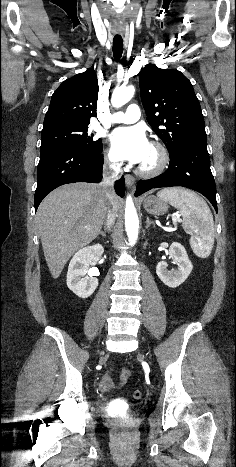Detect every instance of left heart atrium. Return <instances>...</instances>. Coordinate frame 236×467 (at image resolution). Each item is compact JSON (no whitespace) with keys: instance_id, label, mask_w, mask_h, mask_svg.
<instances>
[{"instance_id":"obj_1","label":"left heart atrium","mask_w":236,"mask_h":467,"mask_svg":"<svg viewBox=\"0 0 236 467\" xmlns=\"http://www.w3.org/2000/svg\"><path fill=\"white\" fill-rule=\"evenodd\" d=\"M114 154L119 160L141 164L150 149L144 130L139 126L119 127L111 134Z\"/></svg>"}]
</instances>
